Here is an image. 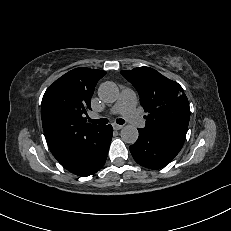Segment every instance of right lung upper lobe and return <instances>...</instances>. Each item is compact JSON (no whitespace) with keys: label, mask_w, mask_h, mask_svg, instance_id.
<instances>
[{"label":"right lung upper lobe","mask_w":231,"mask_h":231,"mask_svg":"<svg viewBox=\"0 0 231 231\" xmlns=\"http://www.w3.org/2000/svg\"><path fill=\"white\" fill-rule=\"evenodd\" d=\"M105 71L76 68L56 80L42 99V124L46 140L54 157L71 149L80 131L96 127L84 115L98 80Z\"/></svg>","instance_id":"right-lung-upper-lobe-1"}]
</instances>
